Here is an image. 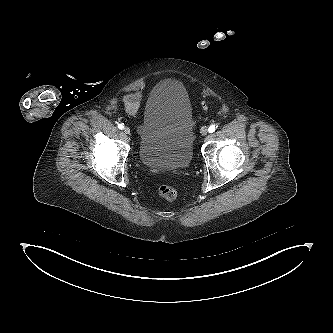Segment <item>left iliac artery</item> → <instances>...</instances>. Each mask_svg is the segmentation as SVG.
Wrapping results in <instances>:
<instances>
[{
    "label": "left iliac artery",
    "instance_id": "1",
    "mask_svg": "<svg viewBox=\"0 0 333 333\" xmlns=\"http://www.w3.org/2000/svg\"><path fill=\"white\" fill-rule=\"evenodd\" d=\"M216 130V126L215 125H211L208 129L209 133H213Z\"/></svg>",
    "mask_w": 333,
    "mask_h": 333
}]
</instances>
